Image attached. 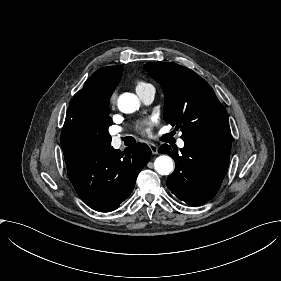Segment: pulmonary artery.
<instances>
[{"label":"pulmonary artery","instance_id":"e3ab8cb5","mask_svg":"<svg viewBox=\"0 0 281 281\" xmlns=\"http://www.w3.org/2000/svg\"><path fill=\"white\" fill-rule=\"evenodd\" d=\"M139 97L146 105H150L154 100L155 92L152 88H150V89H147L145 92H140ZM121 145H122L121 135L114 136L113 140H112V146H113L114 150L115 151L120 150ZM178 146L179 147L184 146V142L180 139L178 140Z\"/></svg>","mask_w":281,"mask_h":281}]
</instances>
